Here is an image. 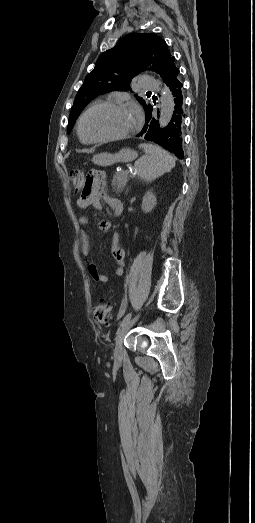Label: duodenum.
Listing matches in <instances>:
<instances>
[{
	"label": "duodenum",
	"instance_id": "duodenum-1",
	"mask_svg": "<svg viewBox=\"0 0 255 523\" xmlns=\"http://www.w3.org/2000/svg\"><path fill=\"white\" fill-rule=\"evenodd\" d=\"M110 205L116 215H120L123 211V204L119 199L112 198L110 200Z\"/></svg>",
	"mask_w": 255,
	"mask_h": 523
}]
</instances>
